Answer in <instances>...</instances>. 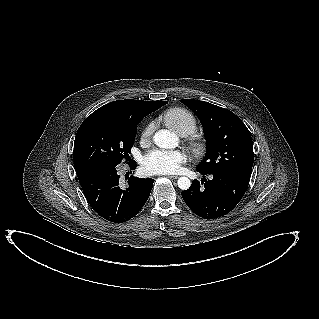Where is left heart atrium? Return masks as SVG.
<instances>
[{
  "mask_svg": "<svg viewBox=\"0 0 319 319\" xmlns=\"http://www.w3.org/2000/svg\"><path fill=\"white\" fill-rule=\"evenodd\" d=\"M185 161L179 150H151L141 159V169L149 175L171 174L177 172Z\"/></svg>",
  "mask_w": 319,
  "mask_h": 319,
  "instance_id": "left-heart-atrium-1",
  "label": "left heart atrium"
}]
</instances>
